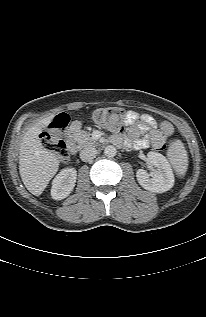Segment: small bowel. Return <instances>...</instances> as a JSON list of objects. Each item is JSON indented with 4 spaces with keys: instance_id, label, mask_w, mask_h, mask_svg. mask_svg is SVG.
<instances>
[{
    "instance_id": "obj_1",
    "label": "small bowel",
    "mask_w": 206,
    "mask_h": 317,
    "mask_svg": "<svg viewBox=\"0 0 206 317\" xmlns=\"http://www.w3.org/2000/svg\"><path fill=\"white\" fill-rule=\"evenodd\" d=\"M126 124L128 126L126 135L116 136V140L123 139L136 149H145L150 145L160 149L165 139L173 132L169 122L163 121L157 124L151 115H140L135 111L127 112Z\"/></svg>"
}]
</instances>
